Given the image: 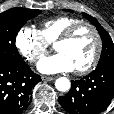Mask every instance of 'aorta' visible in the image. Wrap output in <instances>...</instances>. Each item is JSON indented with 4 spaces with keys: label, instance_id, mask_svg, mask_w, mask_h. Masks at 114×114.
Listing matches in <instances>:
<instances>
[{
    "label": "aorta",
    "instance_id": "1",
    "mask_svg": "<svg viewBox=\"0 0 114 114\" xmlns=\"http://www.w3.org/2000/svg\"><path fill=\"white\" fill-rule=\"evenodd\" d=\"M71 83L66 77H60L55 82V87L57 90L65 92L70 89Z\"/></svg>",
    "mask_w": 114,
    "mask_h": 114
}]
</instances>
